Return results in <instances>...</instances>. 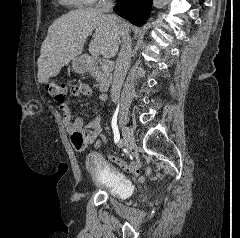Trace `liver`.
<instances>
[{"instance_id": "liver-1", "label": "liver", "mask_w": 240, "mask_h": 238, "mask_svg": "<svg viewBox=\"0 0 240 238\" xmlns=\"http://www.w3.org/2000/svg\"><path fill=\"white\" fill-rule=\"evenodd\" d=\"M124 26L129 28L128 23ZM89 51L95 50L97 55L106 59L118 52L123 29L115 25L100 9L88 8L70 11L56 19L49 27L47 37L41 45L38 59V81L48 83L83 51L88 36L92 34Z\"/></svg>"}]
</instances>
